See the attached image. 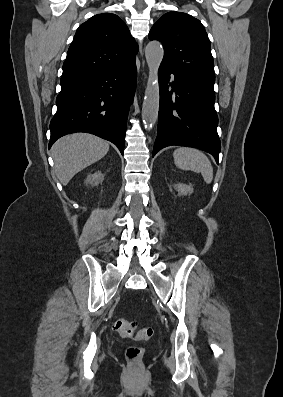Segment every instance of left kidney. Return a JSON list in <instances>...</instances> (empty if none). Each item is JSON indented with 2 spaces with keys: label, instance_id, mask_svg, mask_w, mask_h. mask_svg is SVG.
<instances>
[{
  "label": "left kidney",
  "instance_id": "5707ae66",
  "mask_svg": "<svg viewBox=\"0 0 283 397\" xmlns=\"http://www.w3.org/2000/svg\"><path fill=\"white\" fill-rule=\"evenodd\" d=\"M175 189L178 191L179 195H187L193 193V187L183 183L176 184Z\"/></svg>",
  "mask_w": 283,
  "mask_h": 397
}]
</instances>
